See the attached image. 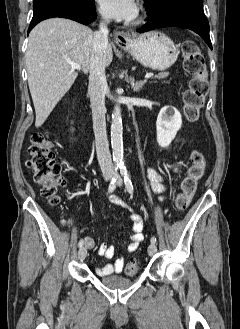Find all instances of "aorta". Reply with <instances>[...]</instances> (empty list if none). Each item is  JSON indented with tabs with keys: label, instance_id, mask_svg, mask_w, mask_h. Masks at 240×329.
<instances>
[{
	"label": "aorta",
	"instance_id": "obj_1",
	"mask_svg": "<svg viewBox=\"0 0 240 329\" xmlns=\"http://www.w3.org/2000/svg\"><path fill=\"white\" fill-rule=\"evenodd\" d=\"M123 125L120 105H115L111 123V146L113 161L116 165L123 164Z\"/></svg>",
	"mask_w": 240,
	"mask_h": 329
}]
</instances>
